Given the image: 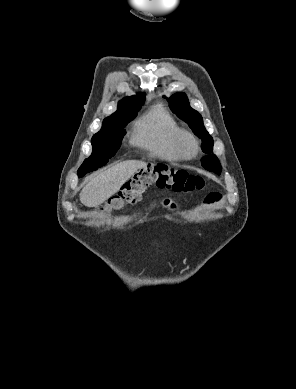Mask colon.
I'll return each mask as SVG.
<instances>
[{
	"instance_id": "5ec220e1",
	"label": "colon",
	"mask_w": 296,
	"mask_h": 389,
	"mask_svg": "<svg viewBox=\"0 0 296 389\" xmlns=\"http://www.w3.org/2000/svg\"><path fill=\"white\" fill-rule=\"evenodd\" d=\"M202 177L163 163H149L127 180L120 192L107 204L108 210L120 211L140 201L148 188L155 186L175 192L189 193L203 189Z\"/></svg>"
}]
</instances>
